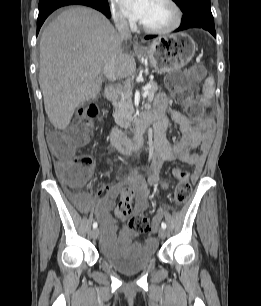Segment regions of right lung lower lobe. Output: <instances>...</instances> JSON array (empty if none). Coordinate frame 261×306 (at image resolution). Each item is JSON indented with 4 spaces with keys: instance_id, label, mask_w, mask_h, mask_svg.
<instances>
[{
    "instance_id": "1",
    "label": "right lung lower lobe",
    "mask_w": 261,
    "mask_h": 306,
    "mask_svg": "<svg viewBox=\"0 0 261 306\" xmlns=\"http://www.w3.org/2000/svg\"><path fill=\"white\" fill-rule=\"evenodd\" d=\"M71 4H81L90 6L101 11L108 18H110V9L107 3L97 2L95 0H39V15L37 19V34L40 27L44 23L45 19L56 9L71 5Z\"/></svg>"
}]
</instances>
